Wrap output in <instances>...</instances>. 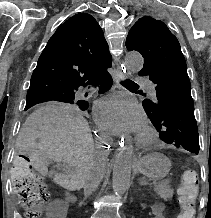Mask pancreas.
I'll return each mask as SVG.
<instances>
[{
	"instance_id": "pancreas-1",
	"label": "pancreas",
	"mask_w": 211,
	"mask_h": 218,
	"mask_svg": "<svg viewBox=\"0 0 211 218\" xmlns=\"http://www.w3.org/2000/svg\"><path fill=\"white\" fill-rule=\"evenodd\" d=\"M154 190L160 198H163V200H172L174 190H172L171 186H169V180L155 182Z\"/></svg>"
}]
</instances>
